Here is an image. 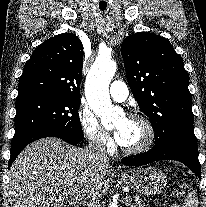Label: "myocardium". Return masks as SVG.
Returning a JSON list of instances; mask_svg holds the SVG:
<instances>
[{
  "label": "myocardium",
  "mask_w": 206,
  "mask_h": 207,
  "mask_svg": "<svg viewBox=\"0 0 206 207\" xmlns=\"http://www.w3.org/2000/svg\"><path fill=\"white\" fill-rule=\"evenodd\" d=\"M130 121H138L141 122L147 131V137L143 144L135 147V148H125L120 145L121 151L126 155H138L147 152L154 144L156 139V129L152 121L145 115L134 113L128 117Z\"/></svg>",
  "instance_id": "f54148a6"
}]
</instances>
